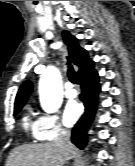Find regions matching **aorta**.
<instances>
[{
	"label": "aorta",
	"mask_w": 135,
	"mask_h": 166,
	"mask_svg": "<svg viewBox=\"0 0 135 166\" xmlns=\"http://www.w3.org/2000/svg\"><path fill=\"white\" fill-rule=\"evenodd\" d=\"M40 103L47 113L56 112L63 99L61 75L58 69L49 67L39 81Z\"/></svg>",
	"instance_id": "1"
}]
</instances>
